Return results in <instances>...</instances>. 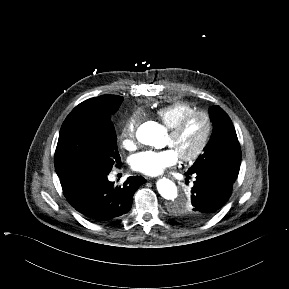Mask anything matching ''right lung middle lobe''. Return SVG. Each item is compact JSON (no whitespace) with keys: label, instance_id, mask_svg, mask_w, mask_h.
<instances>
[{"label":"right lung middle lobe","instance_id":"dd1d6c3e","mask_svg":"<svg viewBox=\"0 0 289 289\" xmlns=\"http://www.w3.org/2000/svg\"><path fill=\"white\" fill-rule=\"evenodd\" d=\"M123 97L102 95L77 105L62 124L55 151V171L62 177L78 173H109L120 164L111 116Z\"/></svg>","mask_w":289,"mask_h":289}]
</instances>
